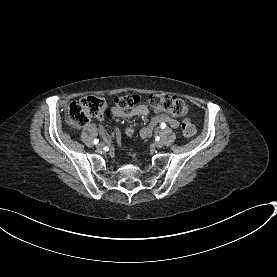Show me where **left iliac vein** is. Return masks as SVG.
I'll use <instances>...</instances> for the list:
<instances>
[{
    "mask_svg": "<svg viewBox=\"0 0 277 277\" xmlns=\"http://www.w3.org/2000/svg\"><path fill=\"white\" fill-rule=\"evenodd\" d=\"M163 141H157V142H155L154 143V146L156 147V148H162L163 147Z\"/></svg>",
    "mask_w": 277,
    "mask_h": 277,
    "instance_id": "1",
    "label": "left iliac vein"
}]
</instances>
